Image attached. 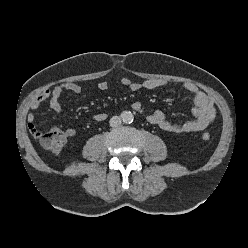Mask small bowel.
<instances>
[{
    "label": "small bowel",
    "mask_w": 248,
    "mask_h": 248,
    "mask_svg": "<svg viewBox=\"0 0 248 248\" xmlns=\"http://www.w3.org/2000/svg\"><path fill=\"white\" fill-rule=\"evenodd\" d=\"M120 84L130 91L136 92L141 89L155 90L158 88L166 87L169 85V82L157 78L146 79L143 81H134L128 77H122L120 79ZM97 86L102 91L107 90L109 87L108 83L105 81L99 82ZM181 87L193 97L194 105L192 108V115L194 118L192 120L182 123H173L169 121L166 118L165 114L160 110H156L146 114V120L153 125H157L161 130L173 134H182L204 130L211 122L214 121L216 117V108L213 100L192 83L184 82L181 84ZM64 91H69L74 94H80L82 88L74 82H66L57 85L53 89L45 90L41 94H39L30 103V108L32 110H36L41 103H43L44 101H48L50 108L55 113L59 114L62 112L60 100ZM131 107L137 113H145L144 106L138 101L133 102ZM92 118L96 122H102L107 118V115L105 113H96L92 116ZM27 126L33 137L39 139L41 132L35 125V115L33 113H29L27 116ZM66 134L68 136H74L75 130L69 128L66 130Z\"/></svg>",
    "instance_id": "obj_1"
}]
</instances>
